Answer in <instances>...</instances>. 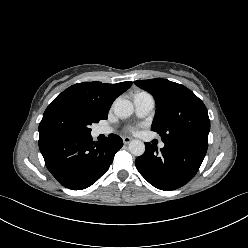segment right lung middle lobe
<instances>
[{"label":"right lung middle lobe","instance_id":"1","mask_svg":"<svg viewBox=\"0 0 248 248\" xmlns=\"http://www.w3.org/2000/svg\"><path fill=\"white\" fill-rule=\"evenodd\" d=\"M98 122L99 120L89 113L74 106L64 103L50 104L39 124V134L89 135L90 125Z\"/></svg>","mask_w":248,"mask_h":248}]
</instances>
